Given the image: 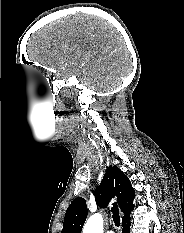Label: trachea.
I'll use <instances>...</instances> for the list:
<instances>
[{
    "instance_id": "1",
    "label": "trachea",
    "mask_w": 184,
    "mask_h": 233,
    "mask_svg": "<svg viewBox=\"0 0 184 233\" xmlns=\"http://www.w3.org/2000/svg\"><path fill=\"white\" fill-rule=\"evenodd\" d=\"M111 212H112V218H113L115 226L119 227L120 226V215H119V208L116 202L113 203Z\"/></svg>"
}]
</instances>
